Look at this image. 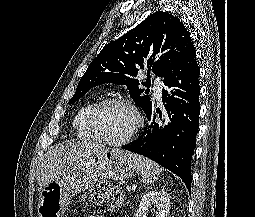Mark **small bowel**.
Instances as JSON below:
<instances>
[{
    "instance_id": "c3829d8e",
    "label": "small bowel",
    "mask_w": 255,
    "mask_h": 217,
    "mask_svg": "<svg viewBox=\"0 0 255 217\" xmlns=\"http://www.w3.org/2000/svg\"><path fill=\"white\" fill-rule=\"evenodd\" d=\"M88 217H107V216L97 214V215H91V216H88Z\"/></svg>"
}]
</instances>
